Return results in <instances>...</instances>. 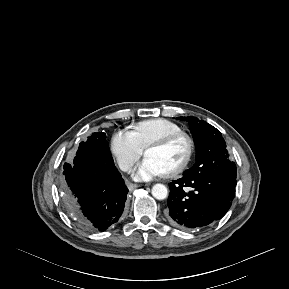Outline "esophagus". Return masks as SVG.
I'll use <instances>...</instances> for the list:
<instances>
[{
	"label": "esophagus",
	"instance_id": "34e87169",
	"mask_svg": "<svg viewBox=\"0 0 289 289\" xmlns=\"http://www.w3.org/2000/svg\"><path fill=\"white\" fill-rule=\"evenodd\" d=\"M140 185H138V184H134V183H130L129 184V189L130 190H134L135 188H137V187H139Z\"/></svg>",
	"mask_w": 289,
	"mask_h": 289
}]
</instances>
